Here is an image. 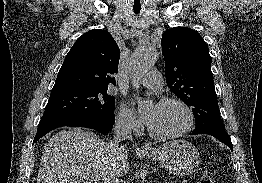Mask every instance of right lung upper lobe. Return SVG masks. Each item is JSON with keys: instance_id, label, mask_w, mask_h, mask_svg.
<instances>
[{"instance_id": "1", "label": "right lung upper lobe", "mask_w": 262, "mask_h": 183, "mask_svg": "<svg viewBox=\"0 0 262 183\" xmlns=\"http://www.w3.org/2000/svg\"><path fill=\"white\" fill-rule=\"evenodd\" d=\"M119 47L112 36L101 29L83 34L65 57L51 92L78 88H107L115 84Z\"/></svg>"}]
</instances>
